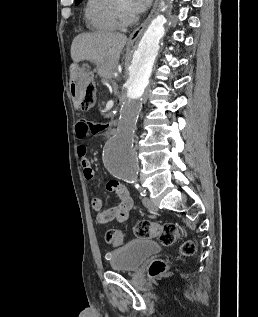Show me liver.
I'll return each mask as SVG.
<instances>
[{
  "instance_id": "liver-1",
  "label": "liver",
  "mask_w": 258,
  "mask_h": 317,
  "mask_svg": "<svg viewBox=\"0 0 258 317\" xmlns=\"http://www.w3.org/2000/svg\"><path fill=\"white\" fill-rule=\"evenodd\" d=\"M126 40L127 36L123 32H110V30L81 32L73 38L71 56L74 62L91 60L97 64L99 70L111 72L118 64Z\"/></svg>"
}]
</instances>
